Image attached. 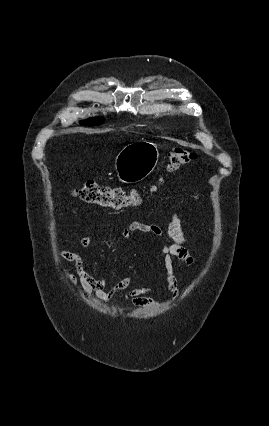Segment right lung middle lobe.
Listing matches in <instances>:
<instances>
[{"label": "right lung middle lobe", "mask_w": 269, "mask_h": 426, "mask_svg": "<svg viewBox=\"0 0 269 426\" xmlns=\"http://www.w3.org/2000/svg\"><path fill=\"white\" fill-rule=\"evenodd\" d=\"M104 122L101 118H91L88 120L81 121L80 123L86 126H97Z\"/></svg>", "instance_id": "dd1d6c3e"}]
</instances>
